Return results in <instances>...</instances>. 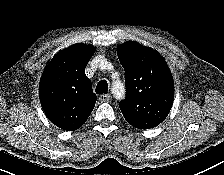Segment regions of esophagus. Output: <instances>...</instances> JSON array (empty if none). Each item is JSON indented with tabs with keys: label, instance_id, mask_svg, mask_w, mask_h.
<instances>
[{
	"label": "esophagus",
	"instance_id": "34e87169",
	"mask_svg": "<svg viewBox=\"0 0 224 175\" xmlns=\"http://www.w3.org/2000/svg\"><path fill=\"white\" fill-rule=\"evenodd\" d=\"M99 100L101 102H108L110 100V95L109 94H102L99 96Z\"/></svg>",
	"mask_w": 224,
	"mask_h": 175
}]
</instances>
